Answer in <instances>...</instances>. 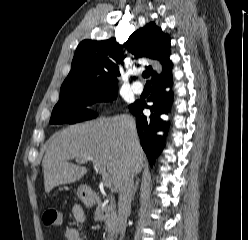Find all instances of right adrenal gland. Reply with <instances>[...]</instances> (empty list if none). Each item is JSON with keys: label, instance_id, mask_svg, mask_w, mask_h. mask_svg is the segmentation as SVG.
I'll return each mask as SVG.
<instances>
[{"label": "right adrenal gland", "instance_id": "1", "mask_svg": "<svg viewBox=\"0 0 248 240\" xmlns=\"http://www.w3.org/2000/svg\"><path fill=\"white\" fill-rule=\"evenodd\" d=\"M139 181H140L139 179L136 180L135 186H134V188H133L132 200H134L135 193H136V191H137V189H138V186H139Z\"/></svg>", "mask_w": 248, "mask_h": 240}]
</instances>
